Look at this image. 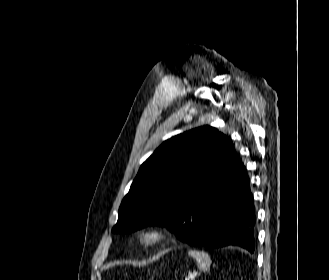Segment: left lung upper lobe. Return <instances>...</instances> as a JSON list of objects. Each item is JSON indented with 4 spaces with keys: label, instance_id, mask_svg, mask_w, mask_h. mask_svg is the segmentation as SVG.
Listing matches in <instances>:
<instances>
[{
    "label": "left lung upper lobe",
    "instance_id": "5c2ea615",
    "mask_svg": "<svg viewBox=\"0 0 329 280\" xmlns=\"http://www.w3.org/2000/svg\"><path fill=\"white\" fill-rule=\"evenodd\" d=\"M236 155L231 140L210 126L165 141L142 164L112 232L130 233L148 224L174 231L225 185L223 174Z\"/></svg>",
    "mask_w": 329,
    "mask_h": 280
}]
</instances>
